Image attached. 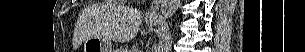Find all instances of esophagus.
Instances as JSON below:
<instances>
[{"instance_id":"34e87169","label":"esophagus","mask_w":305,"mask_h":52,"mask_svg":"<svg viewBox=\"0 0 305 52\" xmlns=\"http://www.w3.org/2000/svg\"><path fill=\"white\" fill-rule=\"evenodd\" d=\"M160 0H154L149 8V10L147 11L145 17L148 20H154L156 19V17L158 16V8L160 5Z\"/></svg>"}]
</instances>
